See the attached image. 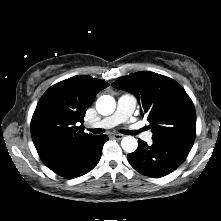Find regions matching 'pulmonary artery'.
<instances>
[{
  "label": "pulmonary artery",
  "mask_w": 221,
  "mask_h": 221,
  "mask_svg": "<svg viewBox=\"0 0 221 221\" xmlns=\"http://www.w3.org/2000/svg\"><path fill=\"white\" fill-rule=\"evenodd\" d=\"M136 105V99L134 96L129 94L122 95L117 102V108L115 112L102 119L95 126L100 128H112L120 123H123L128 120V118L132 115ZM142 138L151 142L152 134L150 132H145L142 134Z\"/></svg>",
  "instance_id": "obj_1"
}]
</instances>
